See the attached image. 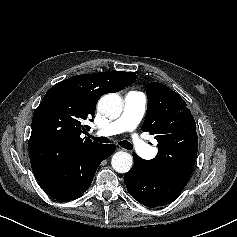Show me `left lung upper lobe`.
Masks as SVG:
<instances>
[{"label":"left lung upper lobe","mask_w":237,"mask_h":237,"mask_svg":"<svg viewBox=\"0 0 237 237\" xmlns=\"http://www.w3.org/2000/svg\"><path fill=\"white\" fill-rule=\"evenodd\" d=\"M146 91L148 108L142 130L158 142V153L150 161L168 173L191 176L198 150L191 111L180 95L161 83H149Z\"/></svg>","instance_id":"obj_1"}]
</instances>
